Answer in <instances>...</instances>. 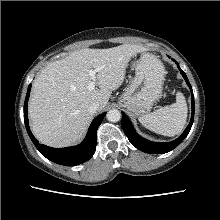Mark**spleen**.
<instances>
[{
  "mask_svg": "<svg viewBox=\"0 0 220 220\" xmlns=\"http://www.w3.org/2000/svg\"><path fill=\"white\" fill-rule=\"evenodd\" d=\"M187 119V104L181 92L176 94V102L158 110L139 116V122L147 129L164 136L179 134Z\"/></svg>",
  "mask_w": 220,
  "mask_h": 220,
  "instance_id": "1",
  "label": "spleen"
}]
</instances>
